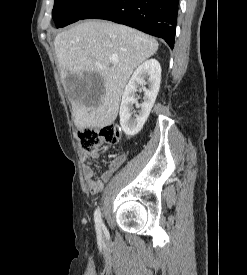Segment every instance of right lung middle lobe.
<instances>
[{
  "mask_svg": "<svg viewBox=\"0 0 247 275\" xmlns=\"http://www.w3.org/2000/svg\"><path fill=\"white\" fill-rule=\"evenodd\" d=\"M100 0H55L52 17L56 27H64L82 17L85 11Z\"/></svg>",
  "mask_w": 247,
  "mask_h": 275,
  "instance_id": "1",
  "label": "right lung middle lobe"
}]
</instances>
